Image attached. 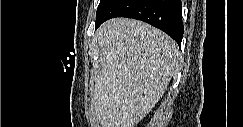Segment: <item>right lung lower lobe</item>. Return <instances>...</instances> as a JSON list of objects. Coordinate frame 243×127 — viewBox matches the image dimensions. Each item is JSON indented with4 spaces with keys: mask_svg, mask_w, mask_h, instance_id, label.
<instances>
[{
    "mask_svg": "<svg viewBox=\"0 0 243 127\" xmlns=\"http://www.w3.org/2000/svg\"><path fill=\"white\" fill-rule=\"evenodd\" d=\"M113 17L147 22L167 33L181 46L184 33L181 0H109L96 14V29Z\"/></svg>",
    "mask_w": 243,
    "mask_h": 127,
    "instance_id": "right-lung-lower-lobe-1",
    "label": "right lung lower lobe"
}]
</instances>
